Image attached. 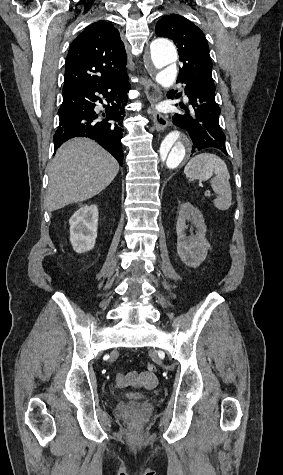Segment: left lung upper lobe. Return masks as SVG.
Instances as JSON below:
<instances>
[{"label":"left lung upper lobe","mask_w":283,"mask_h":475,"mask_svg":"<svg viewBox=\"0 0 283 475\" xmlns=\"http://www.w3.org/2000/svg\"><path fill=\"white\" fill-rule=\"evenodd\" d=\"M156 34L172 39L177 44L179 60L183 63L178 78L215 86L209 46L203 32L196 25L181 15L171 14L157 22Z\"/></svg>","instance_id":"5c2ea615"}]
</instances>
